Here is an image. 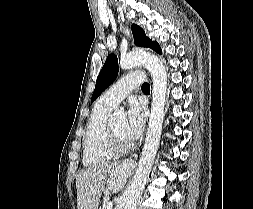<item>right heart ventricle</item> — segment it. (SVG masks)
Wrapping results in <instances>:
<instances>
[{
    "label": "right heart ventricle",
    "mask_w": 253,
    "mask_h": 209,
    "mask_svg": "<svg viewBox=\"0 0 253 209\" xmlns=\"http://www.w3.org/2000/svg\"><path fill=\"white\" fill-rule=\"evenodd\" d=\"M113 109L101 98L96 102L83 140V163L87 167H94L111 160L115 155L108 149L106 140V126Z\"/></svg>",
    "instance_id": "obj_1"
}]
</instances>
